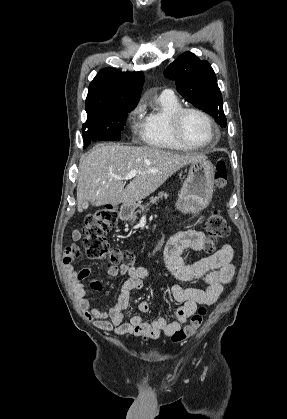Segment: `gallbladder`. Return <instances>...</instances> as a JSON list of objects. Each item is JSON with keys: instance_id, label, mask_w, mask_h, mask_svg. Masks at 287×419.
<instances>
[{"instance_id": "bac80fb5", "label": "gallbladder", "mask_w": 287, "mask_h": 419, "mask_svg": "<svg viewBox=\"0 0 287 419\" xmlns=\"http://www.w3.org/2000/svg\"><path fill=\"white\" fill-rule=\"evenodd\" d=\"M88 206H89V203L85 202V203L82 204V209L86 210L88 208Z\"/></svg>"}]
</instances>
